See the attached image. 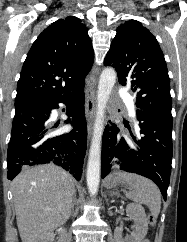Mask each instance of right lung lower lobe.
Listing matches in <instances>:
<instances>
[{"instance_id":"obj_1","label":"right lung lower lobe","mask_w":187,"mask_h":242,"mask_svg":"<svg viewBox=\"0 0 187 242\" xmlns=\"http://www.w3.org/2000/svg\"><path fill=\"white\" fill-rule=\"evenodd\" d=\"M67 106L65 123L73 130L53 135L48 124L52 109ZM83 87L15 115L8 146V179L12 180L26 166L54 163L80 180L87 149Z\"/></svg>"}]
</instances>
